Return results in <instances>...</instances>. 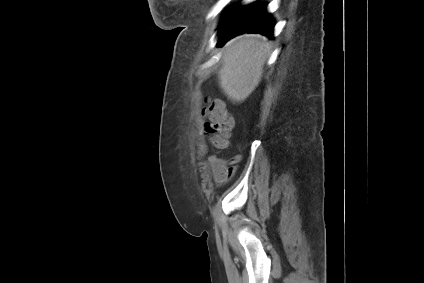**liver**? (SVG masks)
Listing matches in <instances>:
<instances>
[{
  "label": "liver",
  "mask_w": 424,
  "mask_h": 283,
  "mask_svg": "<svg viewBox=\"0 0 424 283\" xmlns=\"http://www.w3.org/2000/svg\"><path fill=\"white\" fill-rule=\"evenodd\" d=\"M270 50L271 43L259 34L240 35L226 44L218 79L229 99L242 102L256 89Z\"/></svg>",
  "instance_id": "liver-1"
}]
</instances>
